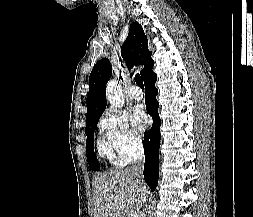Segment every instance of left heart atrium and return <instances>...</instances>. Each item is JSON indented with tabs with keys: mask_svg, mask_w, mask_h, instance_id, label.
<instances>
[{
	"mask_svg": "<svg viewBox=\"0 0 253 217\" xmlns=\"http://www.w3.org/2000/svg\"><path fill=\"white\" fill-rule=\"evenodd\" d=\"M132 122L136 128L144 130L148 127L150 121L143 109L138 107L133 113Z\"/></svg>",
	"mask_w": 253,
	"mask_h": 217,
	"instance_id": "39dd6f15",
	"label": "left heart atrium"
}]
</instances>
